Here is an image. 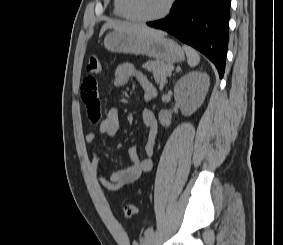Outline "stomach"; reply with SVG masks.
I'll use <instances>...</instances> for the list:
<instances>
[{
	"mask_svg": "<svg viewBox=\"0 0 283 245\" xmlns=\"http://www.w3.org/2000/svg\"><path fill=\"white\" fill-rule=\"evenodd\" d=\"M104 46L111 52L146 55L170 64L185 57L175 41L158 35L113 31L105 37Z\"/></svg>",
	"mask_w": 283,
	"mask_h": 245,
	"instance_id": "obj_1",
	"label": "stomach"
}]
</instances>
